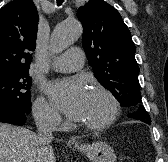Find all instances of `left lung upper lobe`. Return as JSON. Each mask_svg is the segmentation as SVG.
<instances>
[{
	"label": "left lung upper lobe",
	"instance_id": "left-lung-upper-lobe-1",
	"mask_svg": "<svg viewBox=\"0 0 168 162\" xmlns=\"http://www.w3.org/2000/svg\"><path fill=\"white\" fill-rule=\"evenodd\" d=\"M77 17L83 25V48L100 84L122 106L140 110L136 47L119 12L104 0H90Z\"/></svg>",
	"mask_w": 168,
	"mask_h": 162
}]
</instances>
